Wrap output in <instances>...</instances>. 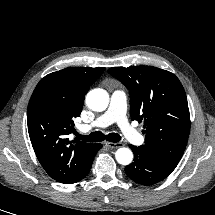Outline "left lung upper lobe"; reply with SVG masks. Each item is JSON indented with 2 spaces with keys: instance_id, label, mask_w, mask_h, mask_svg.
I'll list each match as a JSON object with an SVG mask.
<instances>
[{
  "instance_id": "1",
  "label": "left lung upper lobe",
  "mask_w": 215,
  "mask_h": 215,
  "mask_svg": "<svg viewBox=\"0 0 215 215\" xmlns=\"http://www.w3.org/2000/svg\"><path fill=\"white\" fill-rule=\"evenodd\" d=\"M108 72L130 92L131 119L144 122L142 147L175 168L190 132L187 98L179 79L153 66L112 67Z\"/></svg>"
}]
</instances>
